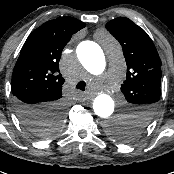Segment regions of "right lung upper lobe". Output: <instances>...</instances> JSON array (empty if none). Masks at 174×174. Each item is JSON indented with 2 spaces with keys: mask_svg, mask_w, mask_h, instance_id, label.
I'll return each instance as SVG.
<instances>
[{
  "mask_svg": "<svg viewBox=\"0 0 174 174\" xmlns=\"http://www.w3.org/2000/svg\"><path fill=\"white\" fill-rule=\"evenodd\" d=\"M85 27L72 17H59L35 29L24 43L12 75V94L33 97L28 103L35 109L20 112L22 120L29 123L43 120L48 107L62 97L64 79L59 71V59L71 36ZM35 98V99H34Z\"/></svg>",
  "mask_w": 174,
  "mask_h": 174,
  "instance_id": "1",
  "label": "right lung upper lobe"
}]
</instances>
